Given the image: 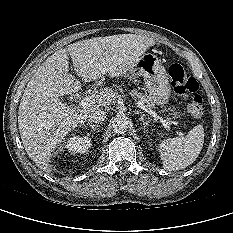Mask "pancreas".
Returning <instances> with one entry per match:
<instances>
[{
    "label": "pancreas",
    "mask_w": 233,
    "mask_h": 233,
    "mask_svg": "<svg viewBox=\"0 0 233 233\" xmlns=\"http://www.w3.org/2000/svg\"><path fill=\"white\" fill-rule=\"evenodd\" d=\"M131 95L134 99L138 100L139 102L143 103L148 108H154L155 105L151 101V98L147 95H143L142 93L138 92L137 90H133ZM174 117H177V113L174 114Z\"/></svg>",
    "instance_id": "1"
}]
</instances>
